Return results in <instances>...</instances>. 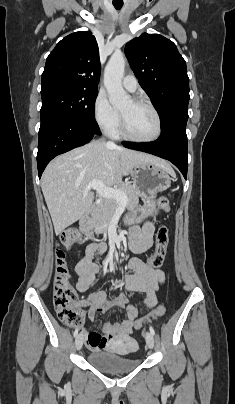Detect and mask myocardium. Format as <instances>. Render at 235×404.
Wrapping results in <instances>:
<instances>
[{
  "label": "myocardium",
  "instance_id": "f54148a6",
  "mask_svg": "<svg viewBox=\"0 0 235 404\" xmlns=\"http://www.w3.org/2000/svg\"><path fill=\"white\" fill-rule=\"evenodd\" d=\"M132 102L136 105L144 106L151 110V112L154 114V116L156 118V132L151 138H147V139H140V138L133 136L127 128L126 121H125L123 115L120 113L121 134L126 139H128L132 142H136V143H152V142L157 141L162 134V120H161V116H160L158 110L153 106V104L146 101L145 99L135 98V99H132Z\"/></svg>",
  "mask_w": 235,
  "mask_h": 404
}]
</instances>
